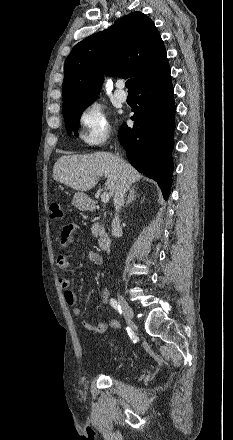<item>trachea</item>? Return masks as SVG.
I'll use <instances>...</instances> for the list:
<instances>
[{
  "label": "trachea",
  "instance_id": "obj_1",
  "mask_svg": "<svg viewBox=\"0 0 233 440\" xmlns=\"http://www.w3.org/2000/svg\"><path fill=\"white\" fill-rule=\"evenodd\" d=\"M125 86L126 88H128V91H133V84L131 79L126 81Z\"/></svg>",
  "mask_w": 233,
  "mask_h": 440
}]
</instances>
